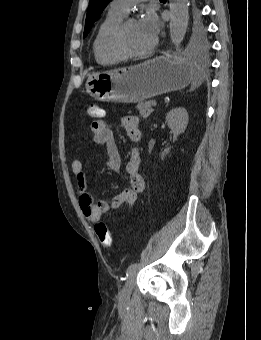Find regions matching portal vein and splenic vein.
<instances>
[{
  "label": "portal vein and splenic vein",
  "mask_w": 261,
  "mask_h": 340,
  "mask_svg": "<svg viewBox=\"0 0 261 340\" xmlns=\"http://www.w3.org/2000/svg\"><path fill=\"white\" fill-rule=\"evenodd\" d=\"M152 106L156 107L157 106V102H153Z\"/></svg>",
  "instance_id": "1"
}]
</instances>
